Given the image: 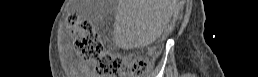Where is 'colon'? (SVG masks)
Instances as JSON below:
<instances>
[{
	"mask_svg": "<svg viewBox=\"0 0 258 77\" xmlns=\"http://www.w3.org/2000/svg\"><path fill=\"white\" fill-rule=\"evenodd\" d=\"M68 21L72 31H79L75 39V50L81 59L94 60L96 72L99 74H118L129 70L133 75L143 74L147 69V63L142 59L128 60L123 57L105 53L99 34L87 22L79 23L77 16L71 14Z\"/></svg>",
	"mask_w": 258,
	"mask_h": 77,
	"instance_id": "obj_1",
	"label": "colon"
}]
</instances>
